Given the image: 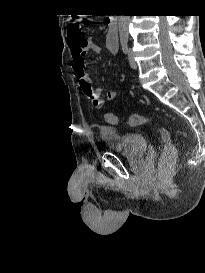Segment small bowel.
Segmentation results:
<instances>
[{
    "mask_svg": "<svg viewBox=\"0 0 205 273\" xmlns=\"http://www.w3.org/2000/svg\"><path fill=\"white\" fill-rule=\"evenodd\" d=\"M106 49L110 54H116L118 50V40L114 32L109 30L106 35ZM70 51L73 58V73L79 83L83 94L90 100L92 107L101 109L105 100L101 97L102 87H93L92 79L85 70V58L87 53H100L101 47L92 39L86 41L85 47L70 42ZM117 96L115 90H109L106 93V100H114Z\"/></svg>",
    "mask_w": 205,
    "mask_h": 273,
    "instance_id": "small-bowel-1",
    "label": "small bowel"
}]
</instances>
